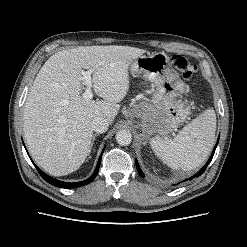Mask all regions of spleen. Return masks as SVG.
<instances>
[{"instance_id": "spleen-1", "label": "spleen", "mask_w": 247, "mask_h": 247, "mask_svg": "<svg viewBox=\"0 0 247 247\" xmlns=\"http://www.w3.org/2000/svg\"><path fill=\"white\" fill-rule=\"evenodd\" d=\"M216 115L207 109L186 125L172 140L154 137L150 141L155 154L173 169L190 171L199 167L215 142Z\"/></svg>"}]
</instances>
